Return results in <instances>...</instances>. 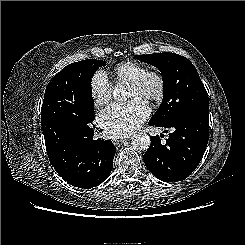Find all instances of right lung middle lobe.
<instances>
[{
	"mask_svg": "<svg viewBox=\"0 0 245 245\" xmlns=\"http://www.w3.org/2000/svg\"><path fill=\"white\" fill-rule=\"evenodd\" d=\"M106 62L87 59L69 64L75 95L70 99L59 124L69 131H81L91 128L94 120V100L92 97L91 81L93 73Z\"/></svg>",
	"mask_w": 245,
	"mask_h": 245,
	"instance_id": "right-lung-middle-lobe-1",
	"label": "right lung middle lobe"
}]
</instances>
